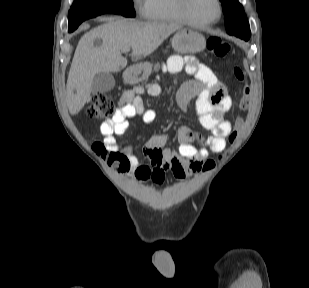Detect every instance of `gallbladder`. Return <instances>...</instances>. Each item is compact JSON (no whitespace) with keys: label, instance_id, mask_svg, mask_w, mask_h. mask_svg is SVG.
<instances>
[{"label":"gallbladder","instance_id":"bac80fb5","mask_svg":"<svg viewBox=\"0 0 309 288\" xmlns=\"http://www.w3.org/2000/svg\"><path fill=\"white\" fill-rule=\"evenodd\" d=\"M115 85L114 76L110 73H100L96 75L92 82V92H108L113 89Z\"/></svg>","mask_w":309,"mask_h":288}]
</instances>
